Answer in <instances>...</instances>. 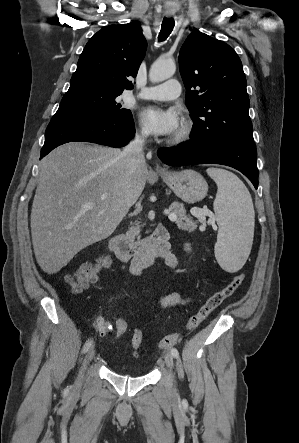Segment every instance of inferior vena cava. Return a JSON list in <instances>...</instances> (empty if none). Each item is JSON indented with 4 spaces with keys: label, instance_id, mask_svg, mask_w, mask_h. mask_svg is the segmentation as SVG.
<instances>
[{
    "label": "inferior vena cava",
    "instance_id": "1",
    "mask_svg": "<svg viewBox=\"0 0 299 443\" xmlns=\"http://www.w3.org/2000/svg\"><path fill=\"white\" fill-rule=\"evenodd\" d=\"M145 134L135 135V138L124 148L121 156L126 158L132 169L145 165V156L143 152Z\"/></svg>",
    "mask_w": 299,
    "mask_h": 443
}]
</instances>
